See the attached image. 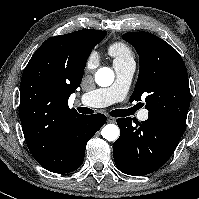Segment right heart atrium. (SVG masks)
I'll list each match as a JSON object with an SVG mask.
<instances>
[{
    "label": "right heart atrium",
    "instance_id": "obj_1",
    "mask_svg": "<svg viewBox=\"0 0 199 199\" xmlns=\"http://www.w3.org/2000/svg\"><path fill=\"white\" fill-rule=\"evenodd\" d=\"M97 56L95 53H92L89 58H88V61H87V66H90L91 64H93L96 60Z\"/></svg>",
    "mask_w": 199,
    "mask_h": 199
}]
</instances>
